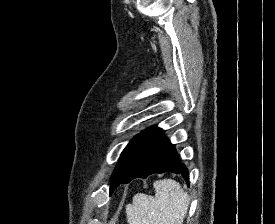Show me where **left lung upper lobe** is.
Listing matches in <instances>:
<instances>
[{
	"instance_id": "left-lung-upper-lobe-1",
	"label": "left lung upper lobe",
	"mask_w": 275,
	"mask_h": 224,
	"mask_svg": "<svg viewBox=\"0 0 275 224\" xmlns=\"http://www.w3.org/2000/svg\"><path fill=\"white\" fill-rule=\"evenodd\" d=\"M156 129V126L147 128L129 142L120 156L118 165L113 172L112 180L121 178L128 171L137 154Z\"/></svg>"
}]
</instances>
